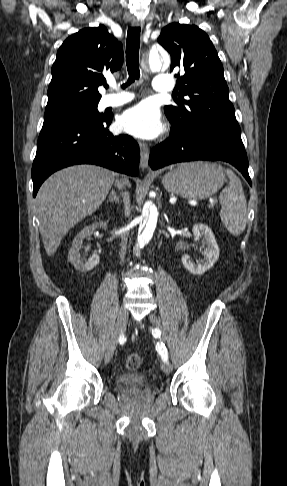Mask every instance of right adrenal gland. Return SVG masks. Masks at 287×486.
<instances>
[{"instance_id":"1","label":"right adrenal gland","mask_w":287,"mask_h":486,"mask_svg":"<svg viewBox=\"0 0 287 486\" xmlns=\"http://www.w3.org/2000/svg\"><path fill=\"white\" fill-rule=\"evenodd\" d=\"M107 202H115V203L120 204L119 197L114 190H111V193H110V196H109V199L107 200Z\"/></svg>"}]
</instances>
